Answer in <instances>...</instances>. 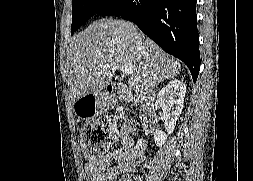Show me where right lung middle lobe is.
Returning <instances> with one entry per match:
<instances>
[{
  "mask_svg": "<svg viewBox=\"0 0 253 181\" xmlns=\"http://www.w3.org/2000/svg\"><path fill=\"white\" fill-rule=\"evenodd\" d=\"M130 0H72V33L95 14L113 16Z\"/></svg>",
  "mask_w": 253,
  "mask_h": 181,
  "instance_id": "right-lung-middle-lobe-1",
  "label": "right lung middle lobe"
}]
</instances>
